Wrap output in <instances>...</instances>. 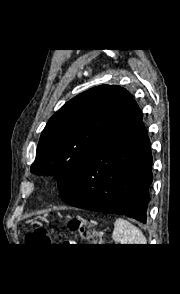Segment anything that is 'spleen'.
Returning a JSON list of instances; mask_svg holds the SVG:
<instances>
[{
	"mask_svg": "<svg viewBox=\"0 0 180 294\" xmlns=\"http://www.w3.org/2000/svg\"><path fill=\"white\" fill-rule=\"evenodd\" d=\"M112 239L117 244H147L142 231L122 218H117L114 223Z\"/></svg>",
	"mask_w": 180,
	"mask_h": 294,
	"instance_id": "3e777b00",
	"label": "spleen"
}]
</instances>
